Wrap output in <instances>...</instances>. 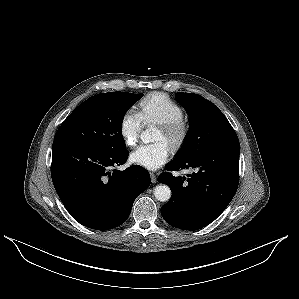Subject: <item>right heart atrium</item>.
I'll use <instances>...</instances> for the list:
<instances>
[{
    "mask_svg": "<svg viewBox=\"0 0 299 299\" xmlns=\"http://www.w3.org/2000/svg\"><path fill=\"white\" fill-rule=\"evenodd\" d=\"M143 119L135 109H128L121 117L119 124L120 135L124 143L133 147L139 139L143 127Z\"/></svg>",
    "mask_w": 299,
    "mask_h": 299,
    "instance_id": "d8ad5b80",
    "label": "right heart atrium"
}]
</instances>
